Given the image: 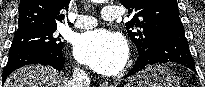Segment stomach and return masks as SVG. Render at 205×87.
<instances>
[{"instance_id": "1", "label": "stomach", "mask_w": 205, "mask_h": 87, "mask_svg": "<svg viewBox=\"0 0 205 87\" xmlns=\"http://www.w3.org/2000/svg\"><path fill=\"white\" fill-rule=\"evenodd\" d=\"M124 87H181V81L169 68L154 65L133 75Z\"/></svg>"}]
</instances>
